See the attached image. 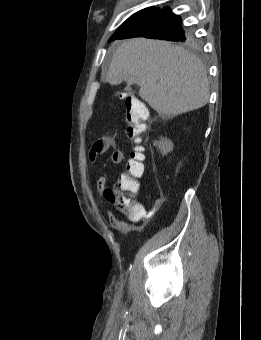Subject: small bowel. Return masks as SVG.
<instances>
[{"instance_id": "1", "label": "small bowel", "mask_w": 261, "mask_h": 340, "mask_svg": "<svg viewBox=\"0 0 261 340\" xmlns=\"http://www.w3.org/2000/svg\"><path fill=\"white\" fill-rule=\"evenodd\" d=\"M111 140L109 137H101L96 140L88 152V161L94 163L98 155L106 152L111 147ZM124 159V153L116 149L111 155L112 167L120 164ZM109 179V173L102 175L96 183L98 201L102 205V196L106 188V183ZM107 217L112 226L117 228L121 233L128 234L130 232L140 229V222L146 217V212L143 208V213L138 216L127 215V219H119L112 212H107Z\"/></svg>"}]
</instances>
